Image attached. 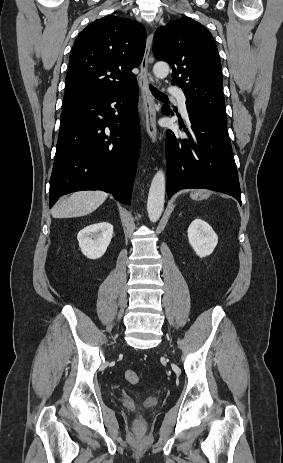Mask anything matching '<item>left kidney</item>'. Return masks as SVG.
Wrapping results in <instances>:
<instances>
[{
  "label": "left kidney",
  "instance_id": "5707ae66",
  "mask_svg": "<svg viewBox=\"0 0 283 463\" xmlns=\"http://www.w3.org/2000/svg\"><path fill=\"white\" fill-rule=\"evenodd\" d=\"M188 240L200 257H206L210 255L218 243V237L212 227L202 219H195L189 225L188 228Z\"/></svg>",
  "mask_w": 283,
  "mask_h": 463
}]
</instances>
